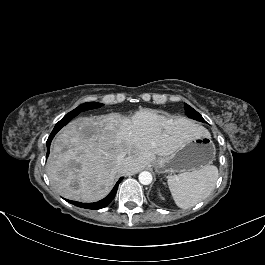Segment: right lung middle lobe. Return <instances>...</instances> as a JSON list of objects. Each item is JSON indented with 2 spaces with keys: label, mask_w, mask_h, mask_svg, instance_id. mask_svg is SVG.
<instances>
[{
  "label": "right lung middle lobe",
  "mask_w": 265,
  "mask_h": 265,
  "mask_svg": "<svg viewBox=\"0 0 265 265\" xmlns=\"http://www.w3.org/2000/svg\"><path fill=\"white\" fill-rule=\"evenodd\" d=\"M104 104L101 103H97V102H87L84 104H81L80 106H78L77 108H75L74 110H72L71 112H69L67 115H65L56 125L55 127H63L64 125H66L72 118H74L75 116H77L80 112L86 111V110H90V109H95V108H100L101 106H103Z\"/></svg>",
  "instance_id": "1"
}]
</instances>
